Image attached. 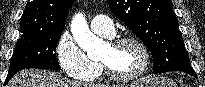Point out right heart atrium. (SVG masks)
Returning a JSON list of instances; mask_svg holds the SVG:
<instances>
[{
  "label": "right heart atrium",
  "instance_id": "right-heart-atrium-1",
  "mask_svg": "<svg viewBox=\"0 0 205 87\" xmlns=\"http://www.w3.org/2000/svg\"><path fill=\"white\" fill-rule=\"evenodd\" d=\"M55 55L62 70L73 79H88L100 72L99 65L87 56L69 32H64L59 37Z\"/></svg>",
  "mask_w": 205,
  "mask_h": 87
}]
</instances>
